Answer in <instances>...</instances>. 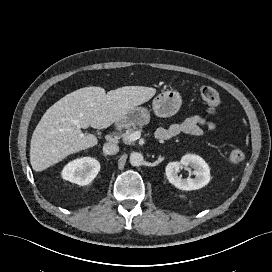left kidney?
<instances>
[{
    "label": "left kidney",
    "instance_id": "left-kidney-1",
    "mask_svg": "<svg viewBox=\"0 0 272 272\" xmlns=\"http://www.w3.org/2000/svg\"><path fill=\"white\" fill-rule=\"evenodd\" d=\"M191 167L194 169V178L183 179L178 175L179 169ZM167 179L180 190H197L206 186L210 181V169L203 158L195 154H186L180 161L169 162L165 168Z\"/></svg>",
    "mask_w": 272,
    "mask_h": 272
}]
</instances>
